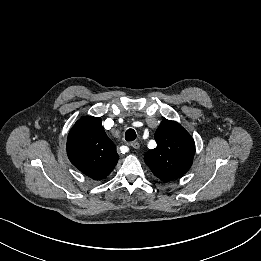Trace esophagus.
I'll return each instance as SVG.
<instances>
[{
    "instance_id": "34e87169",
    "label": "esophagus",
    "mask_w": 261,
    "mask_h": 261,
    "mask_svg": "<svg viewBox=\"0 0 261 261\" xmlns=\"http://www.w3.org/2000/svg\"><path fill=\"white\" fill-rule=\"evenodd\" d=\"M130 146L133 148V149H138L140 147V144L138 142H132L130 144Z\"/></svg>"
}]
</instances>
